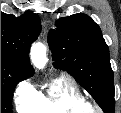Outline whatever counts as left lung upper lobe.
Masks as SVG:
<instances>
[{"label":"left lung upper lobe","mask_w":121,"mask_h":113,"mask_svg":"<svg viewBox=\"0 0 121 113\" xmlns=\"http://www.w3.org/2000/svg\"><path fill=\"white\" fill-rule=\"evenodd\" d=\"M48 43L54 66L68 71L107 113L114 112L113 71L100 27L86 14L59 18Z\"/></svg>","instance_id":"1"}]
</instances>
